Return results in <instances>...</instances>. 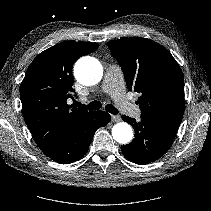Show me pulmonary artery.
I'll use <instances>...</instances> for the list:
<instances>
[{"instance_id":"e3ab8cb5","label":"pulmonary artery","mask_w":211,"mask_h":211,"mask_svg":"<svg viewBox=\"0 0 211 211\" xmlns=\"http://www.w3.org/2000/svg\"><path fill=\"white\" fill-rule=\"evenodd\" d=\"M102 88L103 91L111 95L126 114L134 117L141 115L140 108L126 97L124 78L122 70L118 65L112 64L106 69Z\"/></svg>"}]
</instances>
